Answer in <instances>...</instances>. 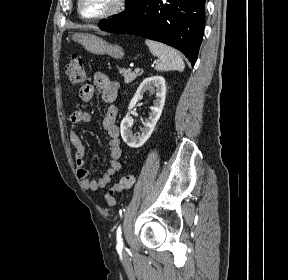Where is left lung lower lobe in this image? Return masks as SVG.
I'll list each match as a JSON object with an SVG mask.
<instances>
[{
    "label": "left lung lower lobe",
    "mask_w": 288,
    "mask_h": 280,
    "mask_svg": "<svg viewBox=\"0 0 288 280\" xmlns=\"http://www.w3.org/2000/svg\"><path fill=\"white\" fill-rule=\"evenodd\" d=\"M204 5L205 0H135L98 26L111 33L134 34L170 45L194 65L204 32Z\"/></svg>",
    "instance_id": "obj_1"
}]
</instances>
